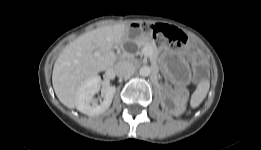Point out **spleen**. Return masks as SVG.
Wrapping results in <instances>:
<instances>
[{
    "mask_svg": "<svg viewBox=\"0 0 261 150\" xmlns=\"http://www.w3.org/2000/svg\"><path fill=\"white\" fill-rule=\"evenodd\" d=\"M210 87V82L208 80H204L200 82L197 86V89L191 96L190 100V107L196 108L198 107L202 101L204 100L205 96L207 95Z\"/></svg>",
    "mask_w": 261,
    "mask_h": 150,
    "instance_id": "1",
    "label": "spleen"
}]
</instances>
